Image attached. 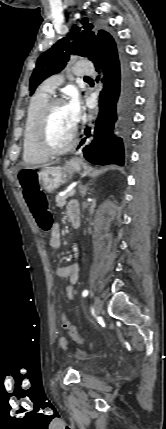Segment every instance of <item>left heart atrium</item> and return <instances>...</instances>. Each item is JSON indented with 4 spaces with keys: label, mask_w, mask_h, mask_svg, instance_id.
Instances as JSON below:
<instances>
[{
    "label": "left heart atrium",
    "mask_w": 166,
    "mask_h": 429,
    "mask_svg": "<svg viewBox=\"0 0 166 429\" xmlns=\"http://www.w3.org/2000/svg\"><path fill=\"white\" fill-rule=\"evenodd\" d=\"M66 105L72 121L74 123L78 122L81 116V106L78 97L73 95Z\"/></svg>",
    "instance_id": "left-heart-atrium-1"
}]
</instances>
